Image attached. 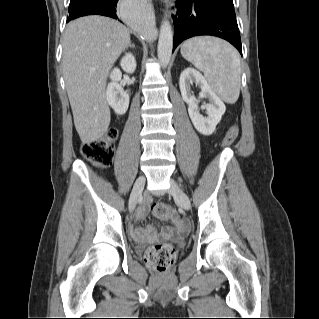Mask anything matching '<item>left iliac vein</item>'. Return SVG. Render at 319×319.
<instances>
[{
  "instance_id": "obj_1",
  "label": "left iliac vein",
  "mask_w": 319,
  "mask_h": 319,
  "mask_svg": "<svg viewBox=\"0 0 319 319\" xmlns=\"http://www.w3.org/2000/svg\"><path fill=\"white\" fill-rule=\"evenodd\" d=\"M169 193L179 202L181 207L185 210H190L191 203L187 194L179 187V185L173 180H170Z\"/></svg>"
}]
</instances>
